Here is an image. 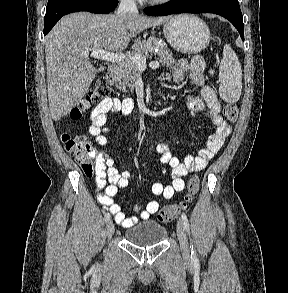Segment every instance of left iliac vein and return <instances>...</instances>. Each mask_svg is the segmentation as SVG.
Instances as JSON below:
<instances>
[{
	"label": "left iliac vein",
	"instance_id": "1",
	"mask_svg": "<svg viewBox=\"0 0 288 293\" xmlns=\"http://www.w3.org/2000/svg\"><path fill=\"white\" fill-rule=\"evenodd\" d=\"M177 237H178L183 255L186 258L189 257L190 251H189L188 241H187L184 225L180 221H178V224H177Z\"/></svg>",
	"mask_w": 288,
	"mask_h": 293
}]
</instances>
